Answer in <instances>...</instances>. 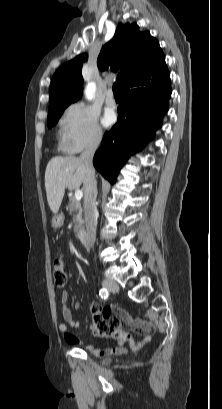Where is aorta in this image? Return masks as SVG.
Listing matches in <instances>:
<instances>
[{
  "label": "aorta",
  "mask_w": 222,
  "mask_h": 409,
  "mask_svg": "<svg viewBox=\"0 0 222 409\" xmlns=\"http://www.w3.org/2000/svg\"><path fill=\"white\" fill-rule=\"evenodd\" d=\"M94 89H95L94 83H90L87 85L86 90H85L87 99L91 100L93 98Z\"/></svg>",
  "instance_id": "aorta-1"
}]
</instances>
